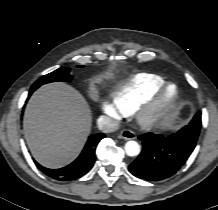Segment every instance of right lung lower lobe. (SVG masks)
I'll list each match as a JSON object with an SVG mask.
<instances>
[{"mask_svg":"<svg viewBox=\"0 0 218 210\" xmlns=\"http://www.w3.org/2000/svg\"><path fill=\"white\" fill-rule=\"evenodd\" d=\"M33 92L34 91L31 89L29 96ZM102 138H104V134L91 135L80 156L66 167L60 169H48L37 162H35V164L42 172L56 180L69 181L79 178L85 175L93 167L95 162V150Z\"/></svg>","mask_w":218,"mask_h":210,"instance_id":"98d812e1","label":"right lung lower lobe"}]
</instances>
